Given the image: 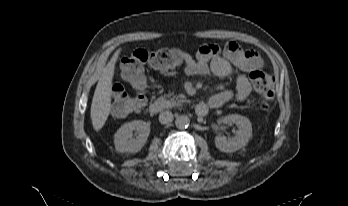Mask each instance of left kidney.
<instances>
[{
    "mask_svg": "<svg viewBox=\"0 0 348 206\" xmlns=\"http://www.w3.org/2000/svg\"><path fill=\"white\" fill-rule=\"evenodd\" d=\"M236 124L238 130L235 131V136L227 138L223 135L215 137V145L222 152H235L246 146L249 139L252 137V124L250 120L238 114H231L219 120V123Z\"/></svg>",
    "mask_w": 348,
    "mask_h": 206,
    "instance_id": "obj_1",
    "label": "left kidney"
}]
</instances>
